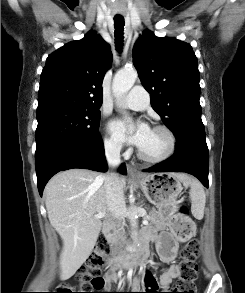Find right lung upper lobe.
I'll use <instances>...</instances> for the list:
<instances>
[{
  "mask_svg": "<svg viewBox=\"0 0 245 293\" xmlns=\"http://www.w3.org/2000/svg\"><path fill=\"white\" fill-rule=\"evenodd\" d=\"M111 61L109 45L93 31L65 44L46 60L37 109L57 105L98 109L103 78Z\"/></svg>",
  "mask_w": 245,
  "mask_h": 293,
  "instance_id": "cb5924a9",
  "label": "right lung upper lobe"
}]
</instances>
